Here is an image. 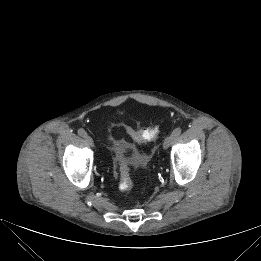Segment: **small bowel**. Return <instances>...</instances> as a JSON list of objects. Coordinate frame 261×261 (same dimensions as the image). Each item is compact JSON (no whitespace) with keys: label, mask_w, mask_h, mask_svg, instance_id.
Returning <instances> with one entry per match:
<instances>
[{"label":"small bowel","mask_w":261,"mask_h":261,"mask_svg":"<svg viewBox=\"0 0 261 261\" xmlns=\"http://www.w3.org/2000/svg\"><path fill=\"white\" fill-rule=\"evenodd\" d=\"M122 147V144L121 143H118L117 144V148L119 149V148H121Z\"/></svg>","instance_id":"c3829d8e"}]
</instances>
